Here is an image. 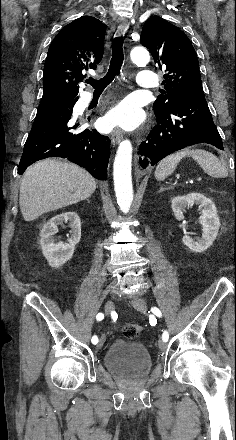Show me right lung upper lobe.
Masks as SVG:
<instances>
[{
	"mask_svg": "<svg viewBox=\"0 0 236 440\" xmlns=\"http://www.w3.org/2000/svg\"><path fill=\"white\" fill-rule=\"evenodd\" d=\"M106 26L91 16L66 25L53 39L43 72L40 105L77 100L78 83L102 60Z\"/></svg>",
	"mask_w": 236,
	"mask_h": 440,
	"instance_id": "right-lung-upper-lobe-1",
	"label": "right lung upper lobe"
}]
</instances>
